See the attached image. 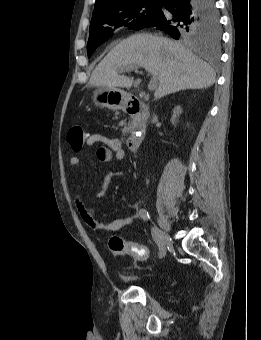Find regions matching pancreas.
<instances>
[{"label":"pancreas","mask_w":261,"mask_h":340,"mask_svg":"<svg viewBox=\"0 0 261 340\" xmlns=\"http://www.w3.org/2000/svg\"><path fill=\"white\" fill-rule=\"evenodd\" d=\"M127 133H128V130H127L126 127H124V128L122 129V134H123V135H126Z\"/></svg>","instance_id":"obj_1"}]
</instances>
